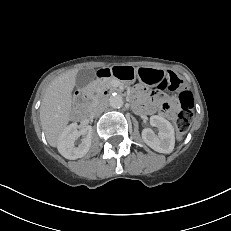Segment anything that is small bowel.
Segmentation results:
<instances>
[{"mask_svg": "<svg viewBox=\"0 0 231 231\" xmlns=\"http://www.w3.org/2000/svg\"><path fill=\"white\" fill-rule=\"evenodd\" d=\"M170 78H171V75L167 74V73H163L161 72L158 76H157V87L159 89H165L167 87L170 86ZM141 80H143V78L141 77ZM162 101H167L169 102L167 99L165 98H162ZM171 103V102H170ZM172 104V109H175V106L173 103ZM147 111H150V109H146Z\"/></svg>", "mask_w": 231, "mask_h": 231, "instance_id": "1", "label": "small bowel"}]
</instances>
